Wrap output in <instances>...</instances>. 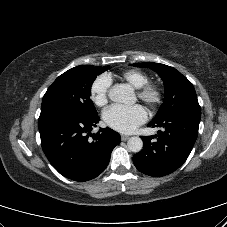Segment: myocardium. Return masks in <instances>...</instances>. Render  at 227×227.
Wrapping results in <instances>:
<instances>
[{
  "mask_svg": "<svg viewBox=\"0 0 227 227\" xmlns=\"http://www.w3.org/2000/svg\"><path fill=\"white\" fill-rule=\"evenodd\" d=\"M137 95L141 101L151 108L158 106L163 100V91L155 83H146L138 88Z\"/></svg>",
  "mask_w": 227,
  "mask_h": 227,
  "instance_id": "myocardium-1",
  "label": "myocardium"
}]
</instances>
